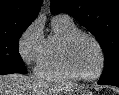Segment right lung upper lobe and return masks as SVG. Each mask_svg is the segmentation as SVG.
<instances>
[{"mask_svg":"<svg viewBox=\"0 0 119 95\" xmlns=\"http://www.w3.org/2000/svg\"><path fill=\"white\" fill-rule=\"evenodd\" d=\"M41 4L42 0H0V28L31 24Z\"/></svg>","mask_w":119,"mask_h":95,"instance_id":"obj_1","label":"right lung upper lobe"}]
</instances>
